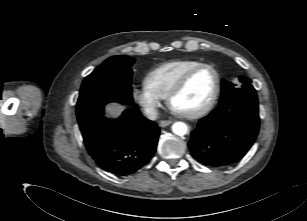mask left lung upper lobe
I'll list each match as a JSON object with an SVG mask.
<instances>
[{"mask_svg":"<svg viewBox=\"0 0 307 221\" xmlns=\"http://www.w3.org/2000/svg\"><path fill=\"white\" fill-rule=\"evenodd\" d=\"M239 80L241 82V86L239 87H236V85L231 82L222 83V95L220 102H224L228 99L235 98L243 94L255 93V89L251 85L250 79L240 76Z\"/></svg>","mask_w":307,"mask_h":221,"instance_id":"left-lung-upper-lobe-1","label":"left lung upper lobe"}]
</instances>
